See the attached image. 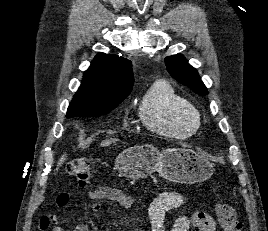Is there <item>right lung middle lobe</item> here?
Returning a JSON list of instances; mask_svg holds the SVG:
<instances>
[{
	"label": "right lung middle lobe",
	"instance_id": "right-lung-middle-lobe-1",
	"mask_svg": "<svg viewBox=\"0 0 268 231\" xmlns=\"http://www.w3.org/2000/svg\"><path fill=\"white\" fill-rule=\"evenodd\" d=\"M122 101L101 102L96 104L82 105L71 102L67 110V118L71 117H98L109 113L116 108Z\"/></svg>",
	"mask_w": 268,
	"mask_h": 231
}]
</instances>
